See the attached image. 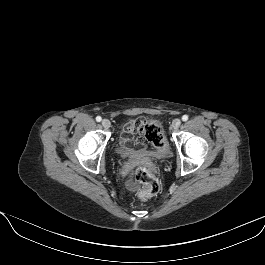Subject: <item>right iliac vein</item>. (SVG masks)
I'll list each match as a JSON object with an SVG mask.
<instances>
[{"instance_id": "1", "label": "right iliac vein", "mask_w": 265, "mask_h": 265, "mask_svg": "<svg viewBox=\"0 0 265 265\" xmlns=\"http://www.w3.org/2000/svg\"><path fill=\"white\" fill-rule=\"evenodd\" d=\"M102 126L106 129H108L111 126V123L108 119L102 120Z\"/></svg>"}]
</instances>
